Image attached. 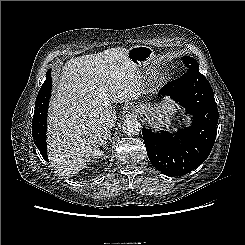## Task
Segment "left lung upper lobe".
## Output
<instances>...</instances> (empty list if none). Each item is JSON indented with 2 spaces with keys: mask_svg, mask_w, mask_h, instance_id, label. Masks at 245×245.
I'll use <instances>...</instances> for the list:
<instances>
[{
  "mask_svg": "<svg viewBox=\"0 0 245 245\" xmlns=\"http://www.w3.org/2000/svg\"><path fill=\"white\" fill-rule=\"evenodd\" d=\"M183 63L185 64L187 70L186 72H193L198 71L199 72V65L195 59H193L190 56H184L182 57Z\"/></svg>",
  "mask_w": 245,
  "mask_h": 245,
  "instance_id": "5c2ea615",
  "label": "left lung upper lobe"
}]
</instances>
